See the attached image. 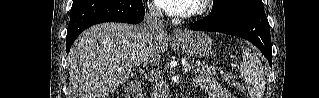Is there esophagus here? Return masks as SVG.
Masks as SVG:
<instances>
[{
    "mask_svg": "<svg viewBox=\"0 0 319 98\" xmlns=\"http://www.w3.org/2000/svg\"><path fill=\"white\" fill-rule=\"evenodd\" d=\"M172 35L176 39H181L182 37H184L185 33L183 30H181L179 28H175V29H173Z\"/></svg>",
    "mask_w": 319,
    "mask_h": 98,
    "instance_id": "1",
    "label": "esophagus"
}]
</instances>
